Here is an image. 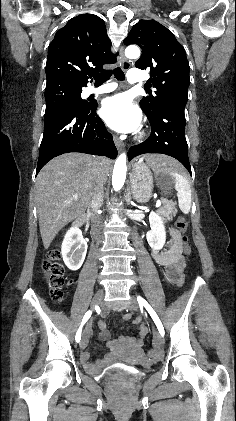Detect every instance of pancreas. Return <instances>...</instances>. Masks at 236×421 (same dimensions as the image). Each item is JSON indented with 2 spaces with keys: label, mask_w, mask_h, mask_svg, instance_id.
I'll list each match as a JSON object with an SVG mask.
<instances>
[{
  "label": "pancreas",
  "mask_w": 236,
  "mask_h": 421,
  "mask_svg": "<svg viewBox=\"0 0 236 421\" xmlns=\"http://www.w3.org/2000/svg\"><path fill=\"white\" fill-rule=\"evenodd\" d=\"M157 213L160 215L162 221L167 223V221H170L171 217H176L177 208H175V202L165 200L162 206H159Z\"/></svg>",
  "instance_id": "pancreas-1"
}]
</instances>
